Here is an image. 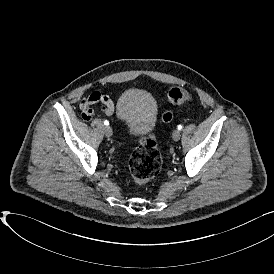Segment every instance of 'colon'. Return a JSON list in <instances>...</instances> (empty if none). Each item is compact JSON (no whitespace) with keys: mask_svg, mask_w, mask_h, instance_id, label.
<instances>
[{"mask_svg":"<svg viewBox=\"0 0 274 274\" xmlns=\"http://www.w3.org/2000/svg\"><path fill=\"white\" fill-rule=\"evenodd\" d=\"M168 102L172 105L193 103L194 96L183 88H172L168 92ZM173 112L165 111L161 120L165 123L172 121ZM162 168V157L157 148V143L152 135H148L141 145L136 148L129 162V172L136 183L142 184L149 181Z\"/></svg>","mask_w":274,"mask_h":274,"instance_id":"5ec220e1","label":"colon"}]
</instances>
